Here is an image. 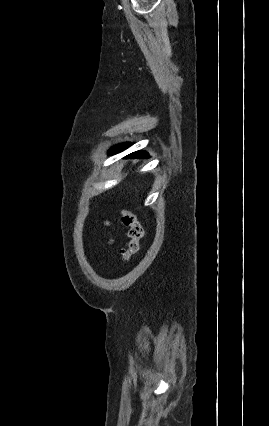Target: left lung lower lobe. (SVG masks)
Returning a JSON list of instances; mask_svg holds the SVG:
<instances>
[{
    "label": "left lung lower lobe",
    "instance_id": "obj_1",
    "mask_svg": "<svg viewBox=\"0 0 269 426\" xmlns=\"http://www.w3.org/2000/svg\"><path fill=\"white\" fill-rule=\"evenodd\" d=\"M127 147L128 146L126 144H122V145L120 144V145L112 147L109 152H110V154L119 153V152L123 151L124 149H126ZM148 157H149V155H148L147 152H145V151H137V152H133V153L127 155L124 158L134 159V158H148Z\"/></svg>",
    "mask_w": 269,
    "mask_h": 426
}]
</instances>
